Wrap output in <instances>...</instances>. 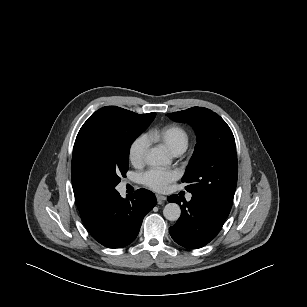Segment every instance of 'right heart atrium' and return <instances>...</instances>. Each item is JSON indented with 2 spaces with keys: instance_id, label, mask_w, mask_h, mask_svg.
I'll use <instances>...</instances> for the list:
<instances>
[{
  "instance_id": "d8ad5b80",
  "label": "right heart atrium",
  "mask_w": 307,
  "mask_h": 307,
  "mask_svg": "<svg viewBox=\"0 0 307 307\" xmlns=\"http://www.w3.org/2000/svg\"><path fill=\"white\" fill-rule=\"evenodd\" d=\"M149 148V140L146 136H139L129 146L128 157L132 164L140 165L144 162Z\"/></svg>"
}]
</instances>
